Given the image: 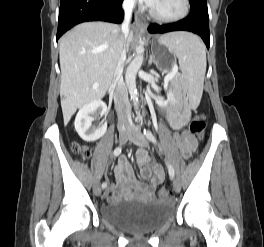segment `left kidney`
<instances>
[{"mask_svg": "<svg viewBox=\"0 0 264 247\" xmlns=\"http://www.w3.org/2000/svg\"><path fill=\"white\" fill-rule=\"evenodd\" d=\"M167 99H168L170 106H175L176 95H175V92L171 88L168 91Z\"/></svg>", "mask_w": 264, "mask_h": 247, "instance_id": "5707ae66", "label": "left kidney"}]
</instances>
